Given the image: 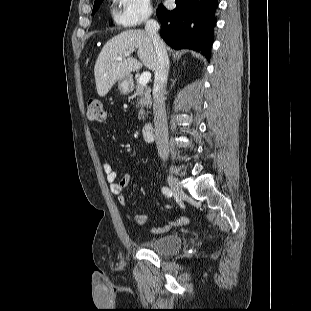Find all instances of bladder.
Listing matches in <instances>:
<instances>
[{"label":"bladder","mask_w":311,"mask_h":311,"mask_svg":"<svg viewBox=\"0 0 311 311\" xmlns=\"http://www.w3.org/2000/svg\"><path fill=\"white\" fill-rule=\"evenodd\" d=\"M183 244V238L178 234H168L142 241L144 249L162 253L171 254L177 252Z\"/></svg>","instance_id":"bladder-1"}]
</instances>
